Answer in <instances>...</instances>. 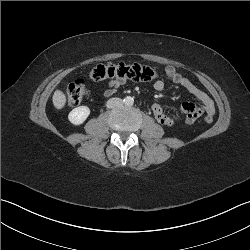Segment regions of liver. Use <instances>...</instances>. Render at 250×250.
I'll list each match as a JSON object with an SVG mask.
<instances>
[{
	"instance_id": "6515ba94",
	"label": "liver",
	"mask_w": 250,
	"mask_h": 250,
	"mask_svg": "<svg viewBox=\"0 0 250 250\" xmlns=\"http://www.w3.org/2000/svg\"><path fill=\"white\" fill-rule=\"evenodd\" d=\"M52 101L56 109H62L66 103V96L61 90H56L53 94Z\"/></svg>"
}]
</instances>
